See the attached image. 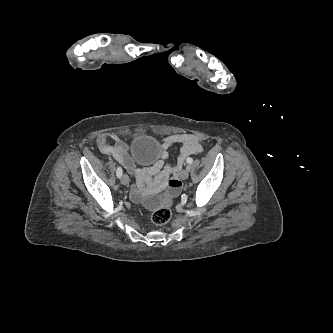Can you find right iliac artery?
I'll return each mask as SVG.
<instances>
[{
  "mask_svg": "<svg viewBox=\"0 0 333 333\" xmlns=\"http://www.w3.org/2000/svg\"><path fill=\"white\" fill-rule=\"evenodd\" d=\"M122 173H123L122 168H121V167H118V168H117V171H116V175H117V177L120 178V177L122 176Z\"/></svg>",
  "mask_w": 333,
  "mask_h": 333,
  "instance_id": "obj_1",
  "label": "right iliac artery"
}]
</instances>
